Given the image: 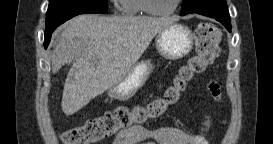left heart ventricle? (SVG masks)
Instances as JSON below:
<instances>
[{"label": "left heart ventricle", "mask_w": 273, "mask_h": 144, "mask_svg": "<svg viewBox=\"0 0 273 144\" xmlns=\"http://www.w3.org/2000/svg\"><path fill=\"white\" fill-rule=\"evenodd\" d=\"M174 3L175 0H152L151 6L156 10H169Z\"/></svg>", "instance_id": "left-heart-ventricle-1"}]
</instances>
